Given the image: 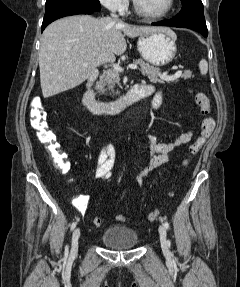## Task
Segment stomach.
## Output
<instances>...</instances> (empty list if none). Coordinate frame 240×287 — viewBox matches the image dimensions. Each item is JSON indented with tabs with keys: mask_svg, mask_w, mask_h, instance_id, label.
I'll use <instances>...</instances> for the list:
<instances>
[{
	"mask_svg": "<svg viewBox=\"0 0 240 287\" xmlns=\"http://www.w3.org/2000/svg\"><path fill=\"white\" fill-rule=\"evenodd\" d=\"M176 34L168 31L141 35L137 48L141 57L150 64L163 66L169 64L176 55Z\"/></svg>",
	"mask_w": 240,
	"mask_h": 287,
	"instance_id": "0dacf381",
	"label": "stomach"
}]
</instances>
